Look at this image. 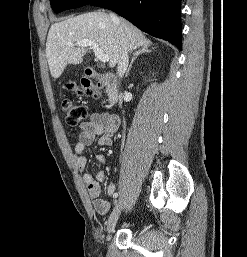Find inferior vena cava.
<instances>
[{
  "instance_id": "1",
  "label": "inferior vena cava",
  "mask_w": 247,
  "mask_h": 257,
  "mask_svg": "<svg viewBox=\"0 0 247 257\" xmlns=\"http://www.w3.org/2000/svg\"><path fill=\"white\" fill-rule=\"evenodd\" d=\"M110 18L116 22L119 23V18L114 14V13H110ZM119 32L122 35V44H123V53L121 55V58L118 62V66H117V75L122 78L125 74V72L127 71V67H128V62H129V57H128V45L125 41V36H124V32H123V28L122 26H119Z\"/></svg>"
}]
</instances>
